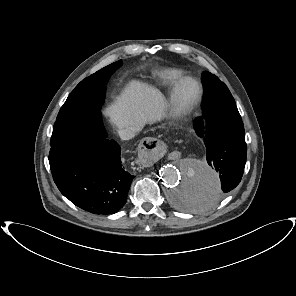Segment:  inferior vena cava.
<instances>
[{
    "mask_svg": "<svg viewBox=\"0 0 296 296\" xmlns=\"http://www.w3.org/2000/svg\"><path fill=\"white\" fill-rule=\"evenodd\" d=\"M142 128L140 126H127L125 128H120L118 133L122 140L132 139L137 132Z\"/></svg>",
    "mask_w": 296,
    "mask_h": 296,
    "instance_id": "602c4592",
    "label": "inferior vena cava"
}]
</instances>
